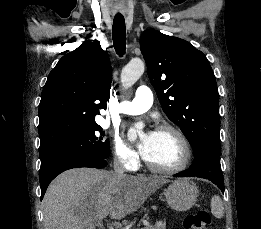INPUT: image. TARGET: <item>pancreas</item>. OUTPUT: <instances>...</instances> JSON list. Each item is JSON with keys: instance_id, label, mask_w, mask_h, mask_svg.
Masks as SVG:
<instances>
[{"instance_id": "1", "label": "pancreas", "mask_w": 261, "mask_h": 229, "mask_svg": "<svg viewBox=\"0 0 261 229\" xmlns=\"http://www.w3.org/2000/svg\"><path fill=\"white\" fill-rule=\"evenodd\" d=\"M150 229H166V223H163V221H158V223L153 225V227H150Z\"/></svg>"}]
</instances>
